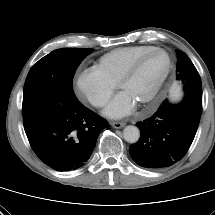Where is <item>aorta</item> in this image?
I'll return each instance as SVG.
<instances>
[{"label": "aorta", "mask_w": 215, "mask_h": 215, "mask_svg": "<svg viewBox=\"0 0 215 215\" xmlns=\"http://www.w3.org/2000/svg\"><path fill=\"white\" fill-rule=\"evenodd\" d=\"M123 137L128 143H136L140 138V131L136 126H126L123 130Z\"/></svg>", "instance_id": "762f6f07"}]
</instances>
